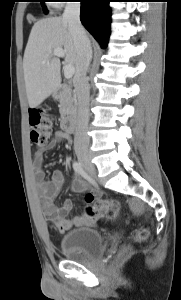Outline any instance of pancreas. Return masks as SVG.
I'll use <instances>...</instances> for the list:
<instances>
[{
	"label": "pancreas",
	"instance_id": "pancreas-1",
	"mask_svg": "<svg viewBox=\"0 0 181 300\" xmlns=\"http://www.w3.org/2000/svg\"><path fill=\"white\" fill-rule=\"evenodd\" d=\"M59 111L62 117L73 114L76 109V98L71 88H63L58 95Z\"/></svg>",
	"mask_w": 181,
	"mask_h": 300
}]
</instances>
